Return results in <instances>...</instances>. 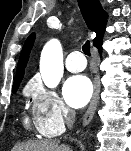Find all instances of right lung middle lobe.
I'll return each mask as SVG.
<instances>
[{"label":"right lung middle lobe","mask_w":131,"mask_h":151,"mask_svg":"<svg viewBox=\"0 0 131 151\" xmlns=\"http://www.w3.org/2000/svg\"><path fill=\"white\" fill-rule=\"evenodd\" d=\"M17 89H18V88H16V89H13V92L15 93V92L17 91Z\"/></svg>","instance_id":"right-lung-middle-lobe-1"}]
</instances>
